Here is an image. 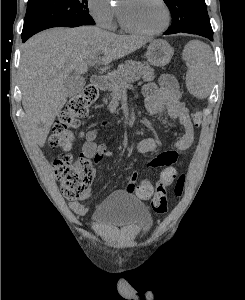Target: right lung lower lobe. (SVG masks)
I'll list each match as a JSON object with an SVG mask.
<instances>
[{
  "label": "right lung lower lobe",
  "mask_w": 245,
  "mask_h": 300,
  "mask_svg": "<svg viewBox=\"0 0 245 300\" xmlns=\"http://www.w3.org/2000/svg\"><path fill=\"white\" fill-rule=\"evenodd\" d=\"M28 38L29 36L22 37V41L25 42Z\"/></svg>",
  "instance_id": "right-lung-lower-lobe-1"
}]
</instances>
